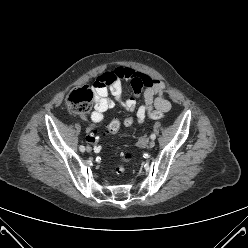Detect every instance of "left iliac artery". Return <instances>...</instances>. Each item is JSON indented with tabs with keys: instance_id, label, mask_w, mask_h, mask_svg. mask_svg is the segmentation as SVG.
Returning <instances> with one entry per match:
<instances>
[{
	"instance_id": "obj_1",
	"label": "left iliac artery",
	"mask_w": 248,
	"mask_h": 248,
	"mask_svg": "<svg viewBox=\"0 0 248 248\" xmlns=\"http://www.w3.org/2000/svg\"><path fill=\"white\" fill-rule=\"evenodd\" d=\"M150 138H151L152 140H154V139L156 138V135L153 133V134L150 135Z\"/></svg>"
}]
</instances>
